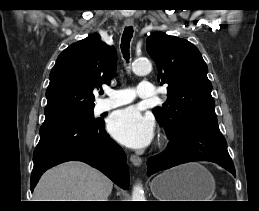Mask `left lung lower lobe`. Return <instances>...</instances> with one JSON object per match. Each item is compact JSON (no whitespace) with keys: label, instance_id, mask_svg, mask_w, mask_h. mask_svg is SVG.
Masks as SVG:
<instances>
[{"label":"left lung lower lobe","instance_id":"obj_1","mask_svg":"<svg viewBox=\"0 0 259 211\" xmlns=\"http://www.w3.org/2000/svg\"><path fill=\"white\" fill-rule=\"evenodd\" d=\"M161 154L149 158L148 174L193 161H210L235 176V168L220 130L191 126L174 138Z\"/></svg>","mask_w":259,"mask_h":211}]
</instances>
